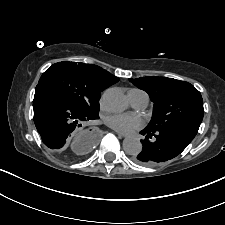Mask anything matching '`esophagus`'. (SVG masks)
<instances>
[{"label":"esophagus","mask_w":225,"mask_h":225,"mask_svg":"<svg viewBox=\"0 0 225 225\" xmlns=\"http://www.w3.org/2000/svg\"><path fill=\"white\" fill-rule=\"evenodd\" d=\"M117 132V134L120 136V137H125L126 136V134H124V133H121V132H118V131H116Z\"/></svg>","instance_id":"1"}]
</instances>
